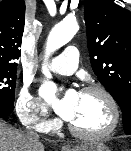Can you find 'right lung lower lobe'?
Listing matches in <instances>:
<instances>
[{"label":"right lung lower lobe","mask_w":131,"mask_h":151,"mask_svg":"<svg viewBox=\"0 0 131 151\" xmlns=\"http://www.w3.org/2000/svg\"><path fill=\"white\" fill-rule=\"evenodd\" d=\"M14 107H5L0 105V117L8 116L12 111Z\"/></svg>","instance_id":"1"}]
</instances>
